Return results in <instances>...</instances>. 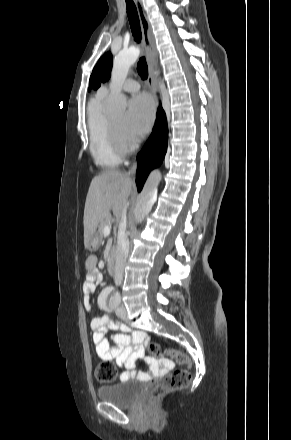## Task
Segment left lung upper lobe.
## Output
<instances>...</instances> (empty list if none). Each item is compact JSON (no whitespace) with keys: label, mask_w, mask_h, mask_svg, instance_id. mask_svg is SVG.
I'll list each match as a JSON object with an SVG mask.
<instances>
[{"label":"left lung upper lobe","mask_w":291,"mask_h":440,"mask_svg":"<svg viewBox=\"0 0 291 440\" xmlns=\"http://www.w3.org/2000/svg\"><path fill=\"white\" fill-rule=\"evenodd\" d=\"M112 67V55L110 53H105L98 61L97 65L94 67L93 72L90 77V87L89 90L97 89L100 87V81L105 82L110 78Z\"/></svg>","instance_id":"1"}]
</instances>
